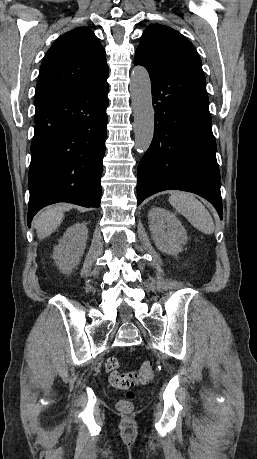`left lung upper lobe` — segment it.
<instances>
[{"label":"left lung upper lobe","mask_w":257,"mask_h":459,"mask_svg":"<svg viewBox=\"0 0 257 459\" xmlns=\"http://www.w3.org/2000/svg\"><path fill=\"white\" fill-rule=\"evenodd\" d=\"M135 61L162 71L203 72L201 59L193 44L176 30L159 24L150 25L144 31Z\"/></svg>","instance_id":"obj_1"}]
</instances>
